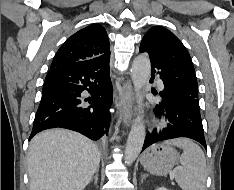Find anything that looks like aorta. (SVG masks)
<instances>
[{"mask_svg": "<svg viewBox=\"0 0 234 190\" xmlns=\"http://www.w3.org/2000/svg\"><path fill=\"white\" fill-rule=\"evenodd\" d=\"M150 72L151 64L149 57L146 54L137 56L132 64L131 78L137 93L139 115L136 117L131 127L125 148V162L128 165H131L138 157L145 140V125L142 121L143 97L140 95V92L147 85Z\"/></svg>", "mask_w": 234, "mask_h": 190, "instance_id": "1", "label": "aorta"}]
</instances>
